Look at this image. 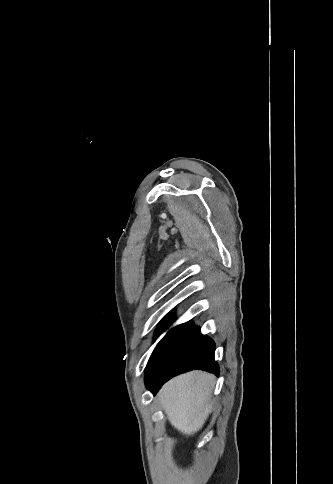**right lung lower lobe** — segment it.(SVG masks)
Listing matches in <instances>:
<instances>
[{"mask_svg":"<svg viewBox=\"0 0 333 484\" xmlns=\"http://www.w3.org/2000/svg\"><path fill=\"white\" fill-rule=\"evenodd\" d=\"M173 312L159 324L155 337L173 321ZM215 344L202 335L200 328L192 322L171 329L154 349L145 372L146 387L156 393L171 377L193 369H203L219 374L214 361Z\"/></svg>","mask_w":333,"mask_h":484,"instance_id":"98d812e1","label":"right lung lower lobe"}]
</instances>
